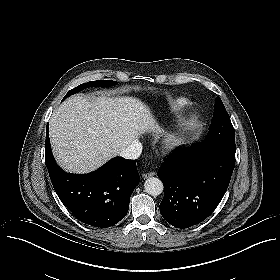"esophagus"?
I'll return each instance as SVG.
<instances>
[{"label":"esophagus","instance_id":"obj_1","mask_svg":"<svg viewBox=\"0 0 280 280\" xmlns=\"http://www.w3.org/2000/svg\"><path fill=\"white\" fill-rule=\"evenodd\" d=\"M154 175H155V172L143 173V174H142V178H143V179H146V178H150V177H152V176H154Z\"/></svg>","mask_w":280,"mask_h":280}]
</instances>
